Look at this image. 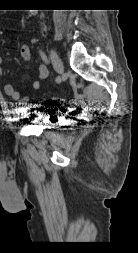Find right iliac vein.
I'll use <instances>...</instances> for the list:
<instances>
[{
    "mask_svg": "<svg viewBox=\"0 0 138 253\" xmlns=\"http://www.w3.org/2000/svg\"><path fill=\"white\" fill-rule=\"evenodd\" d=\"M50 56H51V61H52L55 71L58 74H62L63 69H64L63 61L61 60V58L59 57L57 52L53 49H51V51H50Z\"/></svg>",
    "mask_w": 138,
    "mask_h": 253,
    "instance_id": "1",
    "label": "right iliac vein"
}]
</instances>
